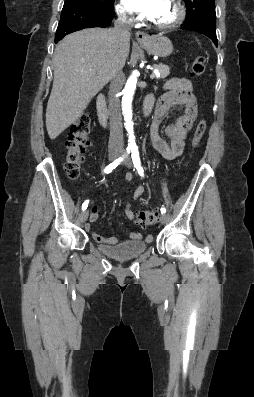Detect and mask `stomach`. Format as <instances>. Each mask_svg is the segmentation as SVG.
<instances>
[{
    "mask_svg": "<svg viewBox=\"0 0 254 397\" xmlns=\"http://www.w3.org/2000/svg\"><path fill=\"white\" fill-rule=\"evenodd\" d=\"M141 47L150 54L158 57H167L173 52V45L169 38L165 36H152L147 43H141Z\"/></svg>",
    "mask_w": 254,
    "mask_h": 397,
    "instance_id": "0dacf381",
    "label": "stomach"
}]
</instances>
